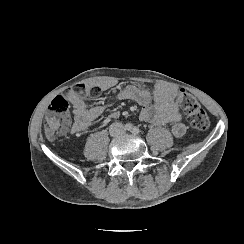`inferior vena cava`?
Returning a JSON list of instances; mask_svg holds the SVG:
<instances>
[{"mask_svg": "<svg viewBox=\"0 0 244 244\" xmlns=\"http://www.w3.org/2000/svg\"><path fill=\"white\" fill-rule=\"evenodd\" d=\"M110 135L112 137H119L125 133V129L122 123H112L109 129Z\"/></svg>", "mask_w": 244, "mask_h": 244, "instance_id": "obj_1", "label": "inferior vena cava"}]
</instances>
